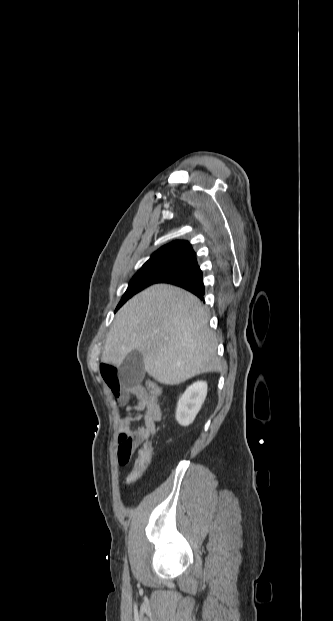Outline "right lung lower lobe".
Wrapping results in <instances>:
<instances>
[{
  "label": "right lung lower lobe",
  "instance_id": "obj_1",
  "mask_svg": "<svg viewBox=\"0 0 333 621\" xmlns=\"http://www.w3.org/2000/svg\"><path fill=\"white\" fill-rule=\"evenodd\" d=\"M157 283H169L180 286L201 299H203L205 293L202 271L198 266L195 255L187 259L177 270L162 277Z\"/></svg>",
  "mask_w": 333,
  "mask_h": 621
}]
</instances>
